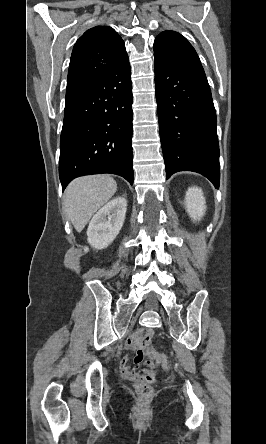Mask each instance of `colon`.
I'll use <instances>...</instances> for the list:
<instances>
[{
  "label": "colon",
  "instance_id": "5ec220e1",
  "mask_svg": "<svg viewBox=\"0 0 266 444\" xmlns=\"http://www.w3.org/2000/svg\"><path fill=\"white\" fill-rule=\"evenodd\" d=\"M147 356H148L147 359L148 364H153V365L157 364L161 365L164 368L169 367V360L166 355L159 354L154 352L153 350H150L148 351ZM136 391L140 397L148 398L151 396L153 389L148 383L141 382L136 385Z\"/></svg>",
  "mask_w": 266,
  "mask_h": 444
}]
</instances>
